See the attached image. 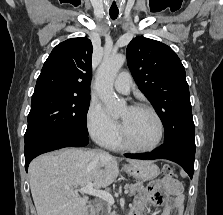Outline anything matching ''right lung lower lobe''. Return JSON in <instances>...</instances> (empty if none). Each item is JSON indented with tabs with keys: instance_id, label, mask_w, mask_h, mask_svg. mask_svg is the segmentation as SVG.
I'll return each instance as SVG.
<instances>
[{
	"instance_id": "right-lung-lower-lobe-1",
	"label": "right lung lower lobe",
	"mask_w": 223,
	"mask_h": 215,
	"mask_svg": "<svg viewBox=\"0 0 223 215\" xmlns=\"http://www.w3.org/2000/svg\"><path fill=\"white\" fill-rule=\"evenodd\" d=\"M87 136L71 134L45 135L25 141V169L38 155L63 147H84L88 144Z\"/></svg>"
}]
</instances>
